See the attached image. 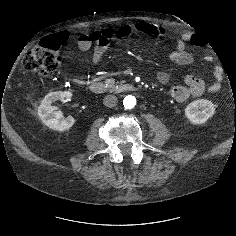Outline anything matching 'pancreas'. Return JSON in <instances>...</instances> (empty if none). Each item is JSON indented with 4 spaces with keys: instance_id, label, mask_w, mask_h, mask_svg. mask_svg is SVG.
Here are the masks:
<instances>
[{
    "instance_id": "pancreas-1",
    "label": "pancreas",
    "mask_w": 236,
    "mask_h": 236,
    "mask_svg": "<svg viewBox=\"0 0 236 236\" xmlns=\"http://www.w3.org/2000/svg\"><path fill=\"white\" fill-rule=\"evenodd\" d=\"M124 81H120V83H123ZM105 83H106V85L108 86V87H113L114 86V84H115V80L113 79V78H110V79H107L106 81H105Z\"/></svg>"
}]
</instances>
